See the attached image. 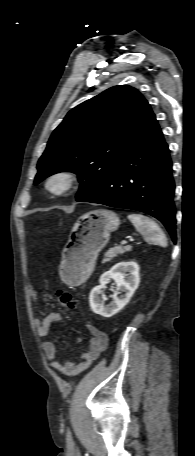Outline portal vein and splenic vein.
Wrapping results in <instances>:
<instances>
[{
    "label": "portal vein and splenic vein",
    "instance_id": "portal-vein-and-splenic-vein-1",
    "mask_svg": "<svg viewBox=\"0 0 195 456\" xmlns=\"http://www.w3.org/2000/svg\"><path fill=\"white\" fill-rule=\"evenodd\" d=\"M130 241H133V239H131ZM128 242H129L128 240H123V241L121 242V244H122V245H125V244H128Z\"/></svg>",
    "mask_w": 195,
    "mask_h": 456
}]
</instances>
